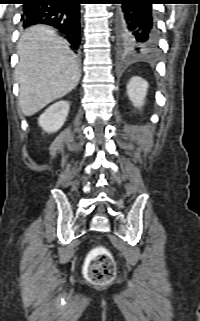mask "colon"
Listing matches in <instances>:
<instances>
[{
    "instance_id": "obj_1",
    "label": "colon",
    "mask_w": 200,
    "mask_h": 321,
    "mask_svg": "<svg viewBox=\"0 0 200 321\" xmlns=\"http://www.w3.org/2000/svg\"><path fill=\"white\" fill-rule=\"evenodd\" d=\"M115 263L109 251L103 247L93 249L86 263L85 274L93 283H107L115 276Z\"/></svg>"
}]
</instances>
